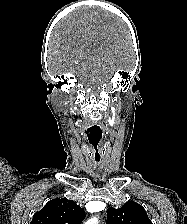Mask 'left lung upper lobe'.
<instances>
[{
  "label": "left lung upper lobe",
  "mask_w": 187,
  "mask_h": 224,
  "mask_svg": "<svg viewBox=\"0 0 187 224\" xmlns=\"http://www.w3.org/2000/svg\"><path fill=\"white\" fill-rule=\"evenodd\" d=\"M107 224H153L145 209L134 201L126 202L121 208H109Z\"/></svg>",
  "instance_id": "5c2ea615"
}]
</instances>
